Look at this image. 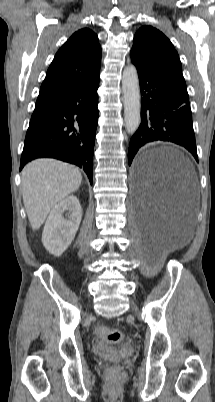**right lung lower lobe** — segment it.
Returning a JSON list of instances; mask_svg holds the SVG:
<instances>
[{"mask_svg": "<svg viewBox=\"0 0 215 402\" xmlns=\"http://www.w3.org/2000/svg\"><path fill=\"white\" fill-rule=\"evenodd\" d=\"M98 87L99 76L31 117L20 170L33 159L51 157L79 166L92 184Z\"/></svg>", "mask_w": 215, "mask_h": 402, "instance_id": "right-lung-lower-lobe-1", "label": "right lung lower lobe"}]
</instances>
